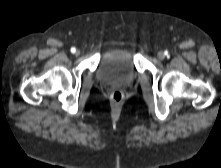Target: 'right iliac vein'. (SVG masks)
Returning a JSON list of instances; mask_svg holds the SVG:
<instances>
[{"label":"right iliac vein","mask_w":221,"mask_h":168,"mask_svg":"<svg viewBox=\"0 0 221 168\" xmlns=\"http://www.w3.org/2000/svg\"><path fill=\"white\" fill-rule=\"evenodd\" d=\"M75 55L76 56L80 55V51L79 50L75 51Z\"/></svg>","instance_id":"1"}]
</instances>
